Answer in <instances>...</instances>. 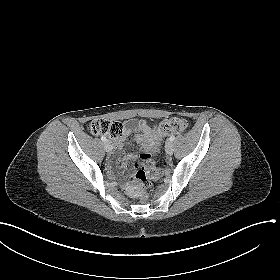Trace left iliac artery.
<instances>
[{
    "label": "left iliac artery",
    "mask_w": 280,
    "mask_h": 280,
    "mask_svg": "<svg viewBox=\"0 0 280 280\" xmlns=\"http://www.w3.org/2000/svg\"><path fill=\"white\" fill-rule=\"evenodd\" d=\"M169 140H170L171 142L174 141V140H175V136H174V135L170 136Z\"/></svg>",
    "instance_id": "1"
}]
</instances>
